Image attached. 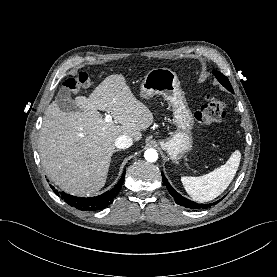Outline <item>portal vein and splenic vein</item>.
I'll list each match as a JSON object with an SVG mask.
<instances>
[{
  "label": "portal vein and splenic vein",
  "mask_w": 277,
  "mask_h": 277,
  "mask_svg": "<svg viewBox=\"0 0 277 277\" xmlns=\"http://www.w3.org/2000/svg\"><path fill=\"white\" fill-rule=\"evenodd\" d=\"M113 116L111 114H107L105 117L106 122H112Z\"/></svg>",
  "instance_id": "18ae733b"
}]
</instances>
